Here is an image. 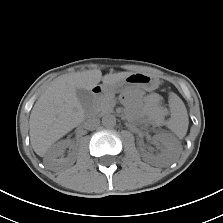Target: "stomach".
Masks as SVG:
<instances>
[{
	"mask_svg": "<svg viewBox=\"0 0 223 223\" xmlns=\"http://www.w3.org/2000/svg\"><path fill=\"white\" fill-rule=\"evenodd\" d=\"M159 80L146 73H132L126 79L113 84L103 83L99 85L103 94L126 93L134 88H141L146 91H153L158 88Z\"/></svg>",
	"mask_w": 223,
	"mask_h": 223,
	"instance_id": "1",
	"label": "stomach"
}]
</instances>
